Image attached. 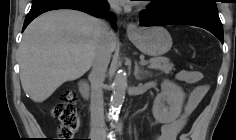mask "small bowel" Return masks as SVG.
<instances>
[{
  "mask_svg": "<svg viewBox=\"0 0 236 140\" xmlns=\"http://www.w3.org/2000/svg\"><path fill=\"white\" fill-rule=\"evenodd\" d=\"M178 80L187 84H198L203 74L195 70H182L177 74ZM208 86L205 84L197 85L190 93L183 113L175 120L164 124L161 127L160 133L156 136L155 140H177V136L185 126L189 115L198 106L200 101L207 93Z\"/></svg>",
  "mask_w": 236,
  "mask_h": 140,
  "instance_id": "c3829d8e",
  "label": "small bowel"
}]
</instances>
